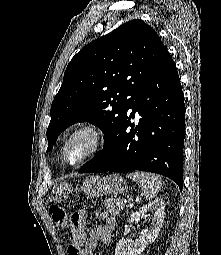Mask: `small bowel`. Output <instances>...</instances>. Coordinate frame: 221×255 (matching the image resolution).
<instances>
[{
	"label": "small bowel",
	"instance_id": "obj_1",
	"mask_svg": "<svg viewBox=\"0 0 221 255\" xmlns=\"http://www.w3.org/2000/svg\"><path fill=\"white\" fill-rule=\"evenodd\" d=\"M102 224L92 229L88 235L86 228L76 233L72 231V241L68 247V255H93L98 242L110 243L112 232L115 227L114 217L107 212L99 213Z\"/></svg>",
	"mask_w": 221,
	"mask_h": 255
}]
</instances>
